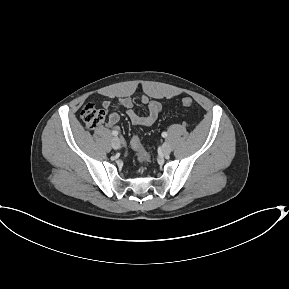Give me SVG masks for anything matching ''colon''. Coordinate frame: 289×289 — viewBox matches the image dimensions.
I'll return each mask as SVG.
<instances>
[{
  "mask_svg": "<svg viewBox=\"0 0 289 289\" xmlns=\"http://www.w3.org/2000/svg\"><path fill=\"white\" fill-rule=\"evenodd\" d=\"M192 103L193 101L190 97H185L182 100V105L186 108L190 107ZM81 119L87 128L94 129L103 124L105 120V112L101 109H98L95 105L88 103L81 111ZM131 146L137 153L141 162L147 163L150 161V155L143 149L137 136L132 138Z\"/></svg>",
  "mask_w": 289,
  "mask_h": 289,
  "instance_id": "1",
  "label": "colon"
}]
</instances>
